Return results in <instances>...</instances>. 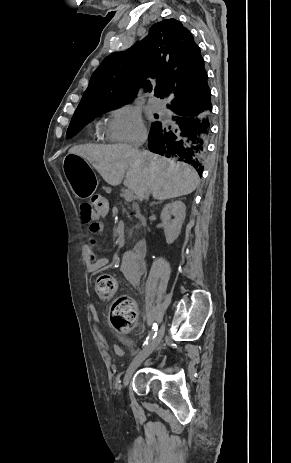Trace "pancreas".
Here are the masks:
<instances>
[{
	"label": "pancreas",
	"instance_id": "obj_1",
	"mask_svg": "<svg viewBox=\"0 0 291 463\" xmlns=\"http://www.w3.org/2000/svg\"><path fill=\"white\" fill-rule=\"evenodd\" d=\"M137 217H138V219H139L140 221H143V220H144V217H143L142 215H140V214H138Z\"/></svg>",
	"mask_w": 291,
	"mask_h": 463
}]
</instances>
